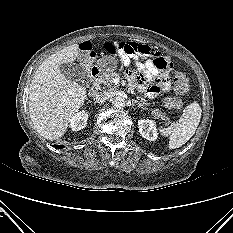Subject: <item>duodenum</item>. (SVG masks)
I'll return each mask as SVG.
<instances>
[{
	"mask_svg": "<svg viewBox=\"0 0 233 233\" xmlns=\"http://www.w3.org/2000/svg\"><path fill=\"white\" fill-rule=\"evenodd\" d=\"M91 76L93 79V85H92L89 93H90V95H95L99 89V84L103 78V72L97 67H92Z\"/></svg>",
	"mask_w": 233,
	"mask_h": 233,
	"instance_id": "duodenum-1",
	"label": "duodenum"
}]
</instances>
